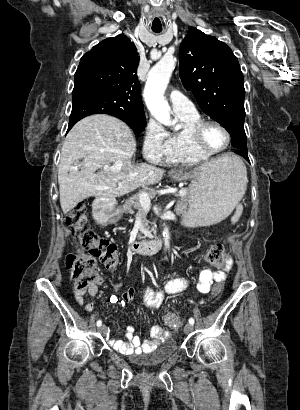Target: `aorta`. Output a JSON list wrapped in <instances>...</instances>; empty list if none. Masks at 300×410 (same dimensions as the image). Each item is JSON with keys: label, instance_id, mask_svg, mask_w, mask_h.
<instances>
[{"label": "aorta", "instance_id": "aorta-1", "mask_svg": "<svg viewBox=\"0 0 300 410\" xmlns=\"http://www.w3.org/2000/svg\"><path fill=\"white\" fill-rule=\"evenodd\" d=\"M176 59L173 56H164L148 73L144 88V99L152 116L166 126H175L170 116V106L164 98V93L175 68ZM178 128V126H175ZM164 245L169 247V230L163 231Z\"/></svg>", "mask_w": 300, "mask_h": 410}]
</instances>
